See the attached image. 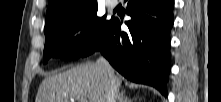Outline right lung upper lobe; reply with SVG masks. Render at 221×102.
Segmentation results:
<instances>
[{"label": "right lung upper lobe", "mask_w": 221, "mask_h": 102, "mask_svg": "<svg viewBox=\"0 0 221 102\" xmlns=\"http://www.w3.org/2000/svg\"><path fill=\"white\" fill-rule=\"evenodd\" d=\"M93 2H97V0H49L46 20L63 9L84 6Z\"/></svg>", "instance_id": "cb5924a9"}]
</instances>
